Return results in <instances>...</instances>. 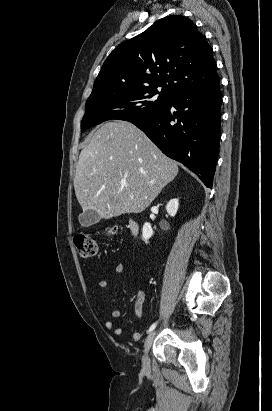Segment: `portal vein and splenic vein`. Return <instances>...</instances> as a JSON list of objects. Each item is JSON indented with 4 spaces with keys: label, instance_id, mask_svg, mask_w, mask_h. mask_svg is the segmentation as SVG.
<instances>
[{
    "label": "portal vein and splenic vein",
    "instance_id": "18ae733b",
    "mask_svg": "<svg viewBox=\"0 0 272 411\" xmlns=\"http://www.w3.org/2000/svg\"><path fill=\"white\" fill-rule=\"evenodd\" d=\"M121 185H122V186H126V181H122V182H121Z\"/></svg>",
    "mask_w": 272,
    "mask_h": 411
}]
</instances>
